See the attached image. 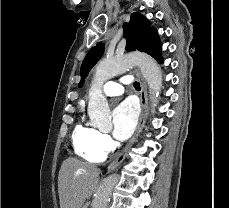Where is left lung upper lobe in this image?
<instances>
[{
	"mask_svg": "<svg viewBox=\"0 0 229 208\" xmlns=\"http://www.w3.org/2000/svg\"><path fill=\"white\" fill-rule=\"evenodd\" d=\"M124 35L126 37V50L134 51L139 50L148 53L154 57L158 62L161 59V42L157 30L150 26L148 21L140 13H132L130 22L124 24ZM104 44L99 42L93 47L86 55L81 65V81L79 87H82L85 78L90 69L97 63L104 52Z\"/></svg>",
	"mask_w": 229,
	"mask_h": 208,
	"instance_id": "left-lung-upper-lobe-1",
	"label": "left lung upper lobe"
}]
</instances>
